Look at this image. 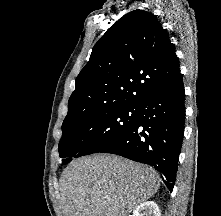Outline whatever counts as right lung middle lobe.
Instances as JSON below:
<instances>
[{
    "instance_id": "obj_1",
    "label": "right lung middle lobe",
    "mask_w": 221,
    "mask_h": 216,
    "mask_svg": "<svg viewBox=\"0 0 221 216\" xmlns=\"http://www.w3.org/2000/svg\"><path fill=\"white\" fill-rule=\"evenodd\" d=\"M138 106L103 109L72 124H62V138L58 151L63 164L71 158L99 153L116 141L137 118Z\"/></svg>"
}]
</instances>
